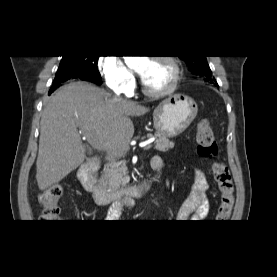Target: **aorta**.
Instances as JSON below:
<instances>
[{"instance_id":"aorta-1","label":"aorta","mask_w":277,"mask_h":277,"mask_svg":"<svg viewBox=\"0 0 277 277\" xmlns=\"http://www.w3.org/2000/svg\"><path fill=\"white\" fill-rule=\"evenodd\" d=\"M125 62L129 67L136 66L140 62V56H125Z\"/></svg>"}]
</instances>
